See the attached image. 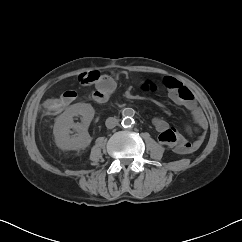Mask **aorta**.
I'll return each instance as SVG.
<instances>
[{"mask_svg":"<svg viewBox=\"0 0 242 242\" xmlns=\"http://www.w3.org/2000/svg\"><path fill=\"white\" fill-rule=\"evenodd\" d=\"M122 115L124 117L122 120V126L125 128L132 126L134 123L133 116L135 115V110L132 108H125L122 111Z\"/></svg>","mask_w":242,"mask_h":242,"instance_id":"1","label":"aorta"}]
</instances>
